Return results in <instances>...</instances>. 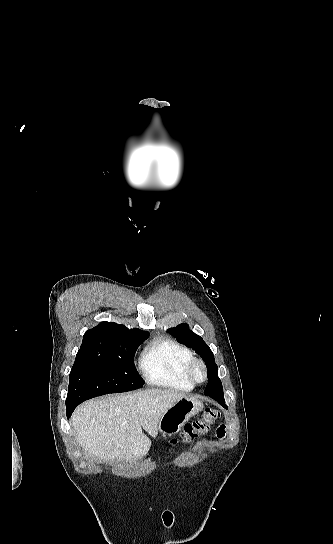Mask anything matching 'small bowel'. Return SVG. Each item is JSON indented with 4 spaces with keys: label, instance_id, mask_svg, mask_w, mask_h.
<instances>
[{
    "label": "small bowel",
    "instance_id": "small-bowel-1",
    "mask_svg": "<svg viewBox=\"0 0 333 544\" xmlns=\"http://www.w3.org/2000/svg\"><path fill=\"white\" fill-rule=\"evenodd\" d=\"M226 435V426L220 425L217 429V436L223 438Z\"/></svg>",
    "mask_w": 333,
    "mask_h": 544
}]
</instances>
